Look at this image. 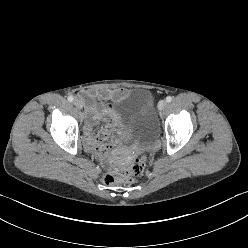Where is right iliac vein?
Segmentation results:
<instances>
[{
  "mask_svg": "<svg viewBox=\"0 0 248 248\" xmlns=\"http://www.w3.org/2000/svg\"><path fill=\"white\" fill-rule=\"evenodd\" d=\"M73 104L79 109L83 107V102L80 99H74Z\"/></svg>",
  "mask_w": 248,
  "mask_h": 248,
  "instance_id": "obj_1",
  "label": "right iliac vein"
}]
</instances>
